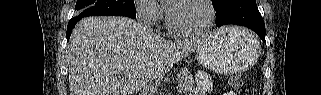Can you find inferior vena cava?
Segmentation results:
<instances>
[{"label":"inferior vena cava","mask_w":321,"mask_h":95,"mask_svg":"<svg viewBox=\"0 0 321 95\" xmlns=\"http://www.w3.org/2000/svg\"><path fill=\"white\" fill-rule=\"evenodd\" d=\"M141 95H154L153 87L145 86L141 92Z\"/></svg>","instance_id":"inferior-vena-cava-1"}]
</instances>
